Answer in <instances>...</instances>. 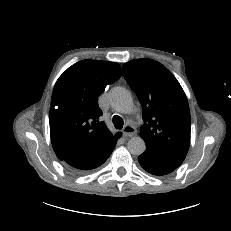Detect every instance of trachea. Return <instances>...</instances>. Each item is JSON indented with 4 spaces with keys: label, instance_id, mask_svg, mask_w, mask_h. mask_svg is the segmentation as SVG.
I'll return each mask as SVG.
<instances>
[{
    "label": "trachea",
    "instance_id": "trachea-1",
    "mask_svg": "<svg viewBox=\"0 0 231 231\" xmlns=\"http://www.w3.org/2000/svg\"><path fill=\"white\" fill-rule=\"evenodd\" d=\"M113 124H114L116 129H122L124 122L120 116L115 115L113 117Z\"/></svg>",
    "mask_w": 231,
    "mask_h": 231
}]
</instances>
